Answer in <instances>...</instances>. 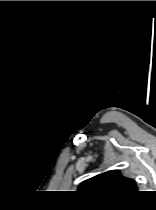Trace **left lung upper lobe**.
Wrapping results in <instances>:
<instances>
[{"mask_svg": "<svg viewBox=\"0 0 156 210\" xmlns=\"http://www.w3.org/2000/svg\"><path fill=\"white\" fill-rule=\"evenodd\" d=\"M136 182L126 178L118 170L108 171L81 183L79 190L85 192L129 195L136 193Z\"/></svg>", "mask_w": 156, "mask_h": 210, "instance_id": "5c2ea615", "label": "left lung upper lobe"}]
</instances>
